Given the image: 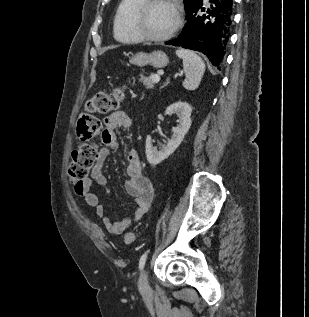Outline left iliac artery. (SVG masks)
<instances>
[{"label":"left iliac artery","mask_w":309,"mask_h":317,"mask_svg":"<svg viewBox=\"0 0 309 317\" xmlns=\"http://www.w3.org/2000/svg\"><path fill=\"white\" fill-rule=\"evenodd\" d=\"M148 250L141 256L140 260H139V269L142 270L144 268L146 259H147V254H148Z\"/></svg>","instance_id":"1"}]
</instances>
